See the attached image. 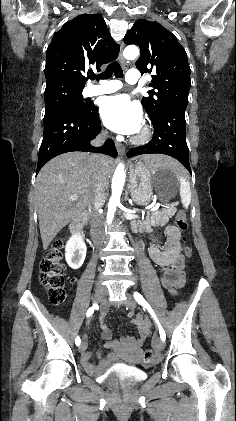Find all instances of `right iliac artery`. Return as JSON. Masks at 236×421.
<instances>
[{
    "label": "right iliac artery",
    "mask_w": 236,
    "mask_h": 421,
    "mask_svg": "<svg viewBox=\"0 0 236 421\" xmlns=\"http://www.w3.org/2000/svg\"><path fill=\"white\" fill-rule=\"evenodd\" d=\"M97 306H98L97 304H93V306H92V307H90V308L87 310V313H86L87 317L91 316V315L94 313V309H95ZM80 343H81L80 337H79V336H77V337H76V339H75V344H76L77 346H79V345H80Z\"/></svg>",
    "instance_id": "82829eb1"
}]
</instances>
